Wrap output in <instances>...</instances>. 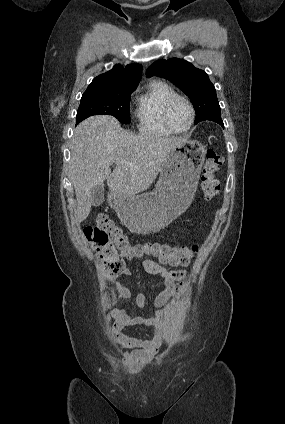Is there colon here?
I'll return each instance as SVG.
<instances>
[{
	"instance_id": "obj_1",
	"label": "colon",
	"mask_w": 285,
	"mask_h": 424,
	"mask_svg": "<svg viewBox=\"0 0 285 424\" xmlns=\"http://www.w3.org/2000/svg\"><path fill=\"white\" fill-rule=\"evenodd\" d=\"M223 164V157L212 149L205 152V164L201 176L200 190L206 199H213L220 193L217 173ZM85 238L92 244L105 274L113 278L122 273L126 259L157 258L169 265H187L197 254V246L171 245L158 242L132 243L128 235L103 214L84 230Z\"/></svg>"
}]
</instances>
